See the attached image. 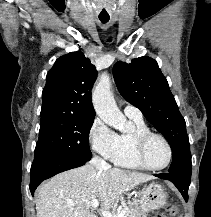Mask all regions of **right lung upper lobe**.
I'll use <instances>...</instances> for the list:
<instances>
[{"mask_svg":"<svg viewBox=\"0 0 211 217\" xmlns=\"http://www.w3.org/2000/svg\"><path fill=\"white\" fill-rule=\"evenodd\" d=\"M96 77L95 66L82 52L58 58L46 77L41 119L63 115L94 118L91 89Z\"/></svg>","mask_w":211,"mask_h":217,"instance_id":"cb5924a9","label":"right lung upper lobe"}]
</instances>
